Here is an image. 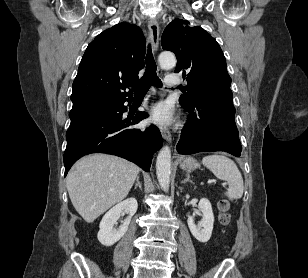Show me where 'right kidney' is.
I'll return each mask as SVG.
<instances>
[{"label":"right kidney","instance_id":"right-kidney-1","mask_svg":"<svg viewBox=\"0 0 308 278\" xmlns=\"http://www.w3.org/2000/svg\"><path fill=\"white\" fill-rule=\"evenodd\" d=\"M137 208V200L135 198H129L110 209L100 222V230L97 235L99 242L108 247L121 239V237L126 233L131 217L136 213ZM122 211H126L129 216L118 229H115L114 224L120 217Z\"/></svg>","mask_w":308,"mask_h":278}]
</instances>
